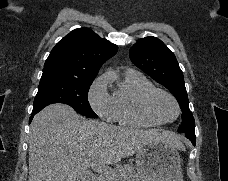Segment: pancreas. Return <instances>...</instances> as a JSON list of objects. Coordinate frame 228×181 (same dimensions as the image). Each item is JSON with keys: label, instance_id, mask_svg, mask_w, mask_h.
Listing matches in <instances>:
<instances>
[{"label": "pancreas", "instance_id": "obj_1", "mask_svg": "<svg viewBox=\"0 0 228 181\" xmlns=\"http://www.w3.org/2000/svg\"><path fill=\"white\" fill-rule=\"evenodd\" d=\"M113 175H116L115 181H141L138 173L134 171L133 167L124 165L120 169H115ZM112 175H103V177H96V181H114V177L110 179Z\"/></svg>", "mask_w": 228, "mask_h": 181}]
</instances>
